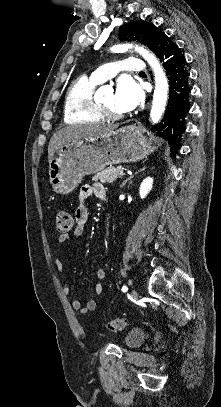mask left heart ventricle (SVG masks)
Masks as SVG:
<instances>
[{"label": "left heart ventricle", "instance_id": "b2bd125f", "mask_svg": "<svg viewBox=\"0 0 221 407\" xmlns=\"http://www.w3.org/2000/svg\"><path fill=\"white\" fill-rule=\"evenodd\" d=\"M103 104H105L108 108L116 111V112H120V113H124L126 112L124 109H122L117 102V98L115 95V92H111L110 94H108L104 100L102 101Z\"/></svg>", "mask_w": 221, "mask_h": 407}]
</instances>
